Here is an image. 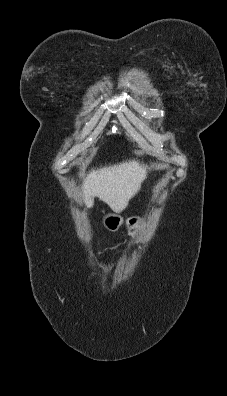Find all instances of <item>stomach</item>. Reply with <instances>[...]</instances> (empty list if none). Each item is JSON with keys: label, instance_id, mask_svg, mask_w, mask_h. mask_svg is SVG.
<instances>
[{"label": "stomach", "instance_id": "0dacf381", "mask_svg": "<svg viewBox=\"0 0 227 396\" xmlns=\"http://www.w3.org/2000/svg\"><path fill=\"white\" fill-rule=\"evenodd\" d=\"M102 223L109 231H116L123 223V218L118 214H106L102 219ZM128 226V234L132 238H137L144 228V221L140 217H131L126 221Z\"/></svg>", "mask_w": 227, "mask_h": 396}]
</instances>
